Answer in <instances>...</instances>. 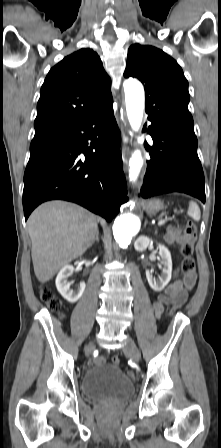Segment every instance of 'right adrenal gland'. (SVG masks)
Wrapping results in <instances>:
<instances>
[{"instance_id":"1","label":"right adrenal gland","mask_w":221,"mask_h":448,"mask_svg":"<svg viewBox=\"0 0 221 448\" xmlns=\"http://www.w3.org/2000/svg\"><path fill=\"white\" fill-rule=\"evenodd\" d=\"M95 241H96V242H99V231H97L96 236H95V239L93 240L91 246L95 243Z\"/></svg>"}]
</instances>
